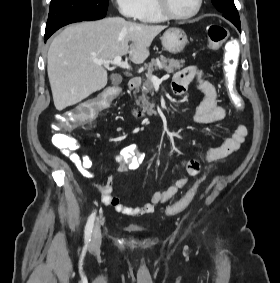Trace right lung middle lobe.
Wrapping results in <instances>:
<instances>
[{
	"mask_svg": "<svg viewBox=\"0 0 280 283\" xmlns=\"http://www.w3.org/2000/svg\"><path fill=\"white\" fill-rule=\"evenodd\" d=\"M108 0H51L47 26L60 20H97L106 16Z\"/></svg>",
	"mask_w": 280,
	"mask_h": 283,
	"instance_id": "1",
	"label": "right lung middle lobe"
}]
</instances>
